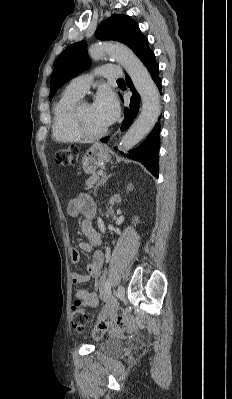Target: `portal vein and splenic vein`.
I'll return each instance as SVG.
<instances>
[{
	"instance_id": "18ae733b",
	"label": "portal vein and splenic vein",
	"mask_w": 232,
	"mask_h": 399,
	"mask_svg": "<svg viewBox=\"0 0 232 399\" xmlns=\"http://www.w3.org/2000/svg\"><path fill=\"white\" fill-rule=\"evenodd\" d=\"M102 174H103V170H99L98 176H102Z\"/></svg>"
}]
</instances>
